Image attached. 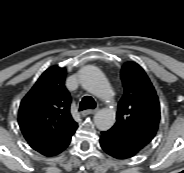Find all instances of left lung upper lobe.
Here are the masks:
<instances>
[{
    "mask_svg": "<svg viewBox=\"0 0 184 173\" xmlns=\"http://www.w3.org/2000/svg\"><path fill=\"white\" fill-rule=\"evenodd\" d=\"M121 79L124 94L118 103L117 121L110 130L140 152L157 132L159 100L152 83L138 64H124Z\"/></svg>",
    "mask_w": 184,
    "mask_h": 173,
    "instance_id": "1",
    "label": "left lung upper lobe"
}]
</instances>
